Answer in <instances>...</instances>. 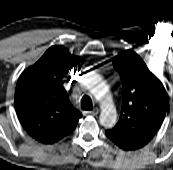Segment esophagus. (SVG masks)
<instances>
[{
	"label": "esophagus",
	"instance_id": "34e87169",
	"mask_svg": "<svg viewBox=\"0 0 173 170\" xmlns=\"http://www.w3.org/2000/svg\"><path fill=\"white\" fill-rule=\"evenodd\" d=\"M85 113L89 114V115H97L99 113V110L97 108H95L91 111H86Z\"/></svg>",
	"mask_w": 173,
	"mask_h": 170
}]
</instances>
